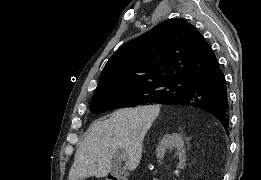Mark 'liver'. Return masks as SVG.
<instances>
[{"label": "liver", "instance_id": "obj_1", "mask_svg": "<svg viewBox=\"0 0 261 180\" xmlns=\"http://www.w3.org/2000/svg\"><path fill=\"white\" fill-rule=\"evenodd\" d=\"M158 112L159 106L121 108L108 120L93 122L75 154L68 180L105 178L120 160L121 150L127 154V170L134 172L140 164L143 140Z\"/></svg>", "mask_w": 261, "mask_h": 180}]
</instances>
